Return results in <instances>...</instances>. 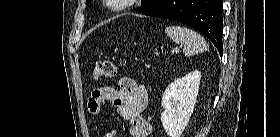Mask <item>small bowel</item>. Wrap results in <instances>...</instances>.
<instances>
[{
	"label": "small bowel",
	"mask_w": 280,
	"mask_h": 137,
	"mask_svg": "<svg viewBox=\"0 0 280 137\" xmlns=\"http://www.w3.org/2000/svg\"><path fill=\"white\" fill-rule=\"evenodd\" d=\"M118 89L110 86L94 88L90 92L88 109L98 115L104 102H111L119 117L128 123L132 137H147L150 126L142 118L148 103V92L144 85L129 76L118 79ZM110 134H114L111 131Z\"/></svg>",
	"instance_id": "obj_1"
}]
</instances>
